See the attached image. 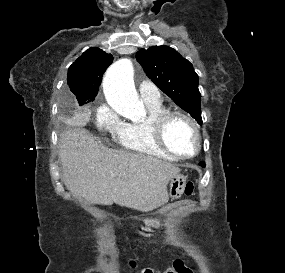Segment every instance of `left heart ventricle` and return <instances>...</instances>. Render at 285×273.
Returning <instances> with one entry per match:
<instances>
[{"label": "left heart ventricle", "instance_id": "obj_1", "mask_svg": "<svg viewBox=\"0 0 285 273\" xmlns=\"http://www.w3.org/2000/svg\"><path fill=\"white\" fill-rule=\"evenodd\" d=\"M168 145L181 154H191L196 148V137L191 125L182 117H173L165 129Z\"/></svg>", "mask_w": 285, "mask_h": 273}]
</instances>
